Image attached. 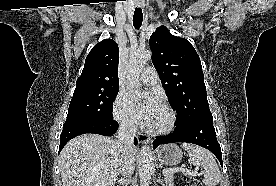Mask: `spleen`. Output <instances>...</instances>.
<instances>
[{"mask_svg": "<svg viewBox=\"0 0 276 186\" xmlns=\"http://www.w3.org/2000/svg\"><path fill=\"white\" fill-rule=\"evenodd\" d=\"M181 147L188 152L194 166L204 169L203 183L206 186H216L220 182L221 174L213 155L208 150L193 144L183 143Z\"/></svg>", "mask_w": 276, "mask_h": 186, "instance_id": "3e777b00", "label": "spleen"}]
</instances>
